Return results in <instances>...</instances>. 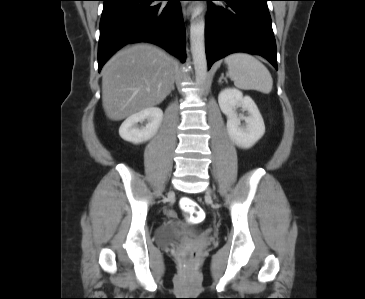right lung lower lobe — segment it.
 <instances>
[{"label":"right lung lower lobe","mask_w":365,"mask_h":299,"mask_svg":"<svg viewBox=\"0 0 365 299\" xmlns=\"http://www.w3.org/2000/svg\"><path fill=\"white\" fill-rule=\"evenodd\" d=\"M98 70L128 43L150 42L185 61L181 0H102Z\"/></svg>","instance_id":"98d812e1"}]
</instances>
